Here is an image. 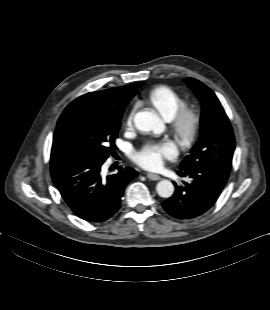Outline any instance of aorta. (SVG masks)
I'll return each instance as SVG.
<instances>
[{
  "instance_id": "762f6f07",
  "label": "aorta",
  "mask_w": 270,
  "mask_h": 310,
  "mask_svg": "<svg viewBox=\"0 0 270 310\" xmlns=\"http://www.w3.org/2000/svg\"><path fill=\"white\" fill-rule=\"evenodd\" d=\"M134 124L140 131L161 133L164 130V124L159 116L149 110L138 112L134 116ZM157 193L160 197L169 198L174 193V185L169 180H161L156 186Z\"/></svg>"
}]
</instances>
